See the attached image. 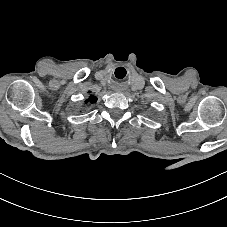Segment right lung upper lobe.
I'll use <instances>...</instances> for the list:
<instances>
[{"mask_svg": "<svg viewBox=\"0 0 227 227\" xmlns=\"http://www.w3.org/2000/svg\"><path fill=\"white\" fill-rule=\"evenodd\" d=\"M87 101L94 103L96 101V97L90 96V98Z\"/></svg>", "mask_w": 227, "mask_h": 227, "instance_id": "cb5924a9", "label": "right lung upper lobe"}]
</instances>
